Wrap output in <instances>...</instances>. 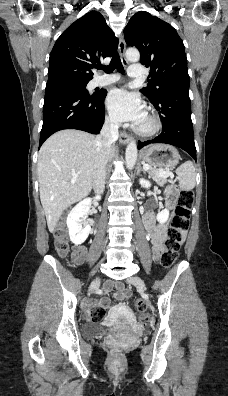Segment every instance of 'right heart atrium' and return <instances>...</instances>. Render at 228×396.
<instances>
[{
  "mask_svg": "<svg viewBox=\"0 0 228 396\" xmlns=\"http://www.w3.org/2000/svg\"><path fill=\"white\" fill-rule=\"evenodd\" d=\"M107 122L111 125H115V121L112 118H108Z\"/></svg>",
  "mask_w": 228,
  "mask_h": 396,
  "instance_id": "right-heart-atrium-1",
  "label": "right heart atrium"
}]
</instances>
